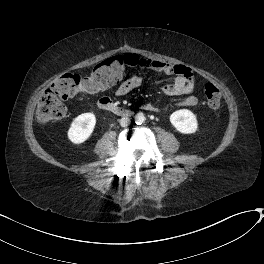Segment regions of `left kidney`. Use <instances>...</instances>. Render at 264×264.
<instances>
[{
	"label": "left kidney",
	"mask_w": 264,
	"mask_h": 264,
	"mask_svg": "<svg viewBox=\"0 0 264 264\" xmlns=\"http://www.w3.org/2000/svg\"><path fill=\"white\" fill-rule=\"evenodd\" d=\"M171 124L183 134L195 133L198 128L196 115L188 109H180L170 116Z\"/></svg>",
	"instance_id": "left-kidney-1"
}]
</instances>
